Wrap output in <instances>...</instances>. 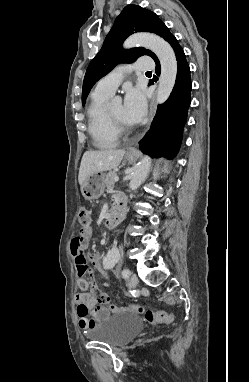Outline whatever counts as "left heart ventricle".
Segmentation results:
<instances>
[{
  "label": "left heart ventricle",
  "instance_id": "b2bd125f",
  "mask_svg": "<svg viewBox=\"0 0 249 382\" xmlns=\"http://www.w3.org/2000/svg\"><path fill=\"white\" fill-rule=\"evenodd\" d=\"M111 115L118 121H120L121 123H123L124 125L130 127L131 124L127 123L125 120H124V117H123V106L121 104H118V105H115L113 107H111L109 109Z\"/></svg>",
  "mask_w": 249,
  "mask_h": 382
}]
</instances>
